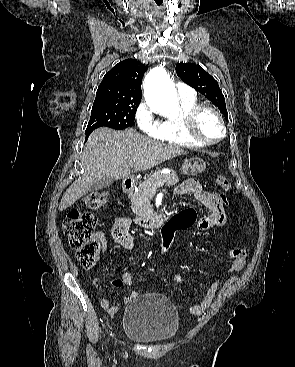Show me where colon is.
<instances>
[{"label":"colon","instance_id":"5ec220e1","mask_svg":"<svg viewBox=\"0 0 295 367\" xmlns=\"http://www.w3.org/2000/svg\"><path fill=\"white\" fill-rule=\"evenodd\" d=\"M216 184L224 191L231 190V184L226 176L219 175ZM213 196L219 195L218 189L212 190ZM107 199L104 191H95L84 198L86 206L91 208L102 207ZM220 199L224 206L229 204L227 194L221 193ZM195 221V213L187 207L175 219H168L167 223L161 224L158 245L161 246L162 253L174 245V238L177 231H186ZM97 220L93 213L78 209L70 210L63 223V231L69 241L70 247L76 252L80 264L84 268H92L98 258L100 250L99 242L93 237V230ZM233 262L243 264L246 259V252L242 248H235L231 252Z\"/></svg>","mask_w":295,"mask_h":367}]
</instances>
